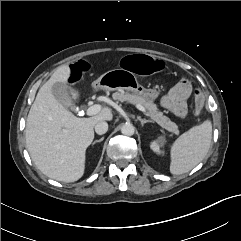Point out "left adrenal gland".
Here are the masks:
<instances>
[{
  "label": "left adrenal gland",
  "instance_id": "a2214340",
  "mask_svg": "<svg viewBox=\"0 0 241 241\" xmlns=\"http://www.w3.org/2000/svg\"><path fill=\"white\" fill-rule=\"evenodd\" d=\"M137 119L141 122L142 126H144L145 123H153L152 120L142 119L140 116H138Z\"/></svg>",
  "mask_w": 241,
  "mask_h": 241
}]
</instances>
